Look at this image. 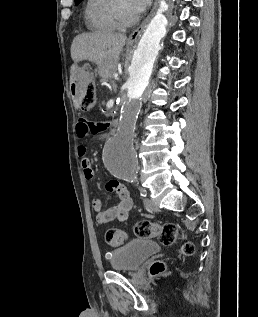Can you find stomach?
I'll list each match as a JSON object with an SVG mask.
<instances>
[{
	"instance_id": "0dacf381",
	"label": "stomach",
	"mask_w": 258,
	"mask_h": 317,
	"mask_svg": "<svg viewBox=\"0 0 258 317\" xmlns=\"http://www.w3.org/2000/svg\"><path fill=\"white\" fill-rule=\"evenodd\" d=\"M128 44H131L130 40H128ZM73 72V80L76 82L78 76H82V74H87L86 66H79V64H74L72 68Z\"/></svg>"
}]
</instances>
